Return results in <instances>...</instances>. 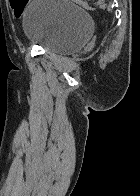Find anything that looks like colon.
<instances>
[{"label": "colon", "mask_w": 140, "mask_h": 196, "mask_svg": "<svg viewBox=\"0 0 140 196\" xmlns=\"http://www.w3.org/2000/svg\"><path fill=\"white\" fill-rule=\"evenodd\" d=\"M75 1H77L79 4H81V5H83V6L87 7V8H90V6L86 2H84L83 0H75ZM11 2L13 4H17L18 0H11Z\"/></svg>", "instance_id": "colon-1"}]
</instances>
